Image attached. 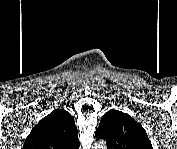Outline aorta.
Listing matches in <instances>:
<instances>
[{
    "mask_svg": "<svg viewBox=\"0 0 177 149\" xmlns=\"http://www.w3.org/2000/svg\"><path fill=\"white\" fill-rule=\"evenodd\" d=\"M103 146H104V144L100 143V145H98L97 147L99 148V147H103Z\"/></svg>",
    "mask_w": 177,
    "mask_h": 149,
    "instance_id": "1",
    "label": "aorta"
}]
</instances>
